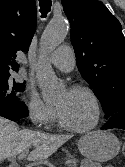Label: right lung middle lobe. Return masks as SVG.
Masks as SVG:
<instances>
[{"mask_svg": "<svg viewBox=\"0 0 125 167\" xmlns=\"http://www.w3.org/2000/svg\"><path fill=\"white\" fill-rule=\"evenodd\" d=\"M24 90V83L11 79L10 74L0 75V99L20 103L22 102L21 92Z\"/></svg>", "mask_w": 125, "mask_h": 167, "instance_id": "dd1d6c3e", "label": "right lung middle lobe"}]
</instances>
